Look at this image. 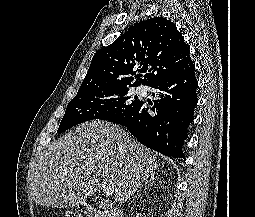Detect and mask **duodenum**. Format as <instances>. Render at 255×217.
I'll use <instances>...</instances> for the list:
<instances>
[{"mask_svg": "<svg viewBox=\"0 0 255 217\" xmlns=\"http://www.w3.org/2000/svg\"><path fill=\"white\" fill-rule=\"evenodd\" d=\"M81 210L86 214L87 217H124L123 213L118 209L101 210L95 207L84 204L80 206Z\"/></svg>", "mask_w": 255, "mask_h": 217, "instance_id": "duodenum-1", "label": "duodenum"}]
</instances>
